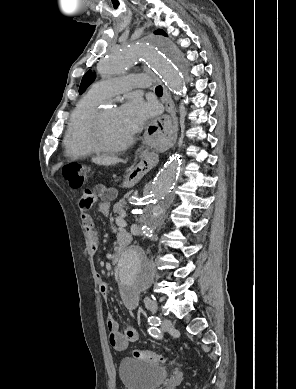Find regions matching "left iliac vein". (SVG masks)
<instances>
[{
	"label": "left iliac vein",
	"mask_w": 296,
	"mask_h": 389,
	"mask_svg": "<svg viewBox=\"0 0 296 389\" xmlns=\"http://www.w3.org/2000/svg\"><path fill=\"white\" fill-rule=\"evenodd\" d=\"M162 330L167 331L172 327V322L169 319H163L162 320Z\"/></svg>",
	"instance_id": "4c4485c4"
}]
</instances>
